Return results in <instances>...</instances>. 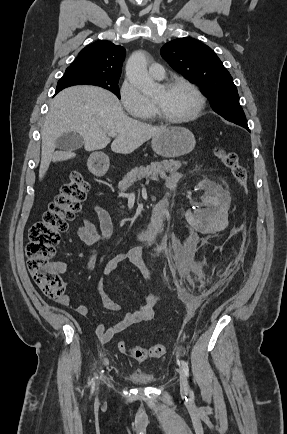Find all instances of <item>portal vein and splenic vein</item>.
I'll list each match as a JSON object with an SVG mask.
<instances>
[{"instance_id":"obj_1","label":"portal vein and splenic vein","mask_w":287,"mask_h":434,"mask_svg":"<svg viewBox=\"0 0 287 434\" xmlns=\"http://www.w3.org/2000/svg\"><path fill=\"white\" fill-rule=\"evenodd\" d=\"M108 135L111 136V137H116L117 136V134L115 132H108Z\"/></svg>"}]
</instances>
